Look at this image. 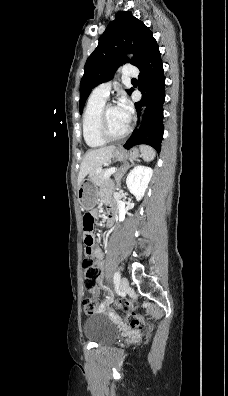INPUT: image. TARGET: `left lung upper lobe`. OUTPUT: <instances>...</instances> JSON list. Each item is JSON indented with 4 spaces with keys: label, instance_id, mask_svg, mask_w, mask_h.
<instances>
[{
    "label": "left lung upper lobe",
    "instance_id": "1",
    "mask_svg": "<svg viewBox=\"0 0 228 396\" xmlns=\"http://www.w3.org/2000/svg\"><path fill=\"white\" fill-rule=\"evenodd\" d=\"M155 39L144 23L129 11H120L101 35L94 52L88 57L80 83L79 110L82 113L90 91L103 82L111 80L117 68L129 62L126 53L135 57L131 64L140 67ZM133 89L126 90L128 94Z\"/></svg>",
    "mask_w": 228,
    "mask_h": 396
}]
</instances>
